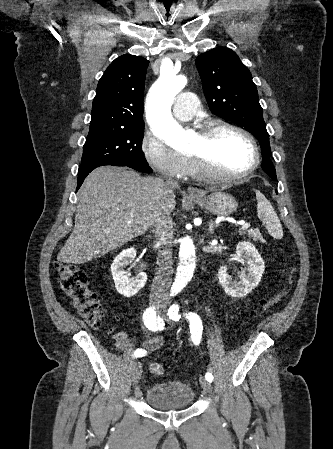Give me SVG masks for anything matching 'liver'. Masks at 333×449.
I'll return each mask as SVG.
<instances>
[{"mask_svg":"<svg viewBox=\"0 0 333 449\" xmlns=\"http://www.w3.org/2000/svg\"><path fill=\"white\" fill-rule=\"evenodd\" d=\"M177 187L127 168H96L78 190L74 230L59 260L81 264L142 235L161 206L175 209Z\"/></svg>","mask_w":333,"mask_h":449,"instance_id":"liver-1","label":"liver"}]
</instances>
